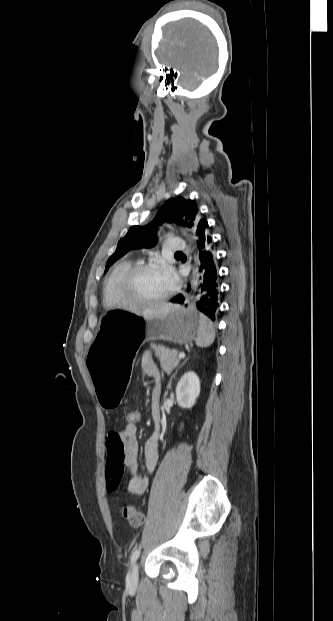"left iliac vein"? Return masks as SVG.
Here are the masks:
<instances>
[{"label":"left iliac vein","mask_w":333,"mask_h":621,"mask_svg":"<svg viewBox=\"0 0 333 621\" xmlns=\"http://www.w3.org/2000/svg\"><path fill=\"white\" fill-rule=\"evenodd\" d=\"M129 585H135L138 580V563H134L127 577Z\"/></svg>","instance_id":"obj_1"}]
</instances>
